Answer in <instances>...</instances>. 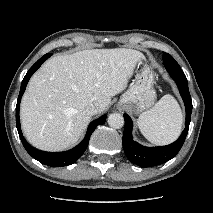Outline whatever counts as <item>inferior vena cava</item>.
I'll use <instances>...</instances> for the list:
<instances>
[{"mask_svg": "<svg viewBox=\"0 0 213 213\" xmlns=\"http://www.w3.org/2000/svg\"><path fill=\"white\" fill-rule=\"evenodd\" d=\"M86 112L89 114V115H95L97 113L100 112V108L97 104L95 103H91L87 106L86 108Z\"/></svg>", "mask_w": 213, "mask_h": 213, "instance_id": "1", "label": "inferior vena cava"}]
</instances>
